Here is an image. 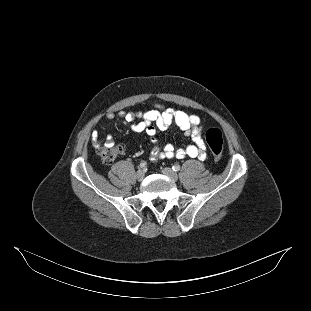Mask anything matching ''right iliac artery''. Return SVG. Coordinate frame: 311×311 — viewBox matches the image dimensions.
<instances>
[{
    "label": "right iliac artery",
    "instance_id": "82829eb1",
    "mask_svg": "<svg viewBox=\"0 0 311 311\" xmlns=\"http://www.w3.org/2000/svg\"><path fill=\"white\" fill-rule=\"evenodd\" d=\"M139 166H140V168L145 169L147 167V163L141 162Z\"/></svg>",
    "mask_w": 311,
    "mask_h": 311
}]
</instances>
